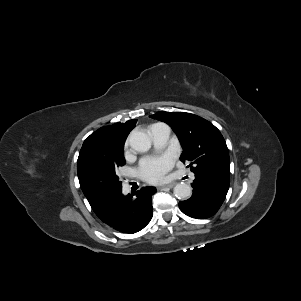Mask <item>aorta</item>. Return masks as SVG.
Returning <instances> with one entry per match:
<instances>
[{"label": "aorta", "mask_w": 301, "mask_h": 301, "mask_svg": "<svg viewBox=\"0 0 301 301\" xmlns=\"http://www.w3.org/2000/svg\"><path fill=\"white\" fill-rule=\"evenodd\" d=\"M129 144L137 152H146L151 148L149 136L141 131H132L129 136ZM174 194L178 199H188L191 196V187L184 183H178L174 187Z\"/></svg>", "instance_id": "aorta-1"}]
</instances>
